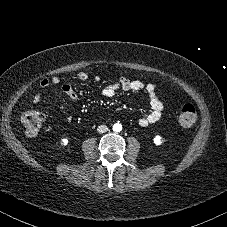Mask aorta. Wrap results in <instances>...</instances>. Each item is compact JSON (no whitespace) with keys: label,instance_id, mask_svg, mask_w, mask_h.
<instances>
[{"label":"aorta","instance_id":"762f6f07","mask_svg":"<svg viewBox=\"0 0 227 227\" xmlns=\"http://www.w3.org/2000/svg\"><path fill=\"white\" fill-rule=\"evenodd\" d=\"M114 131L119 132L122 130V126L120 124H115L113 126Z\"/></svg>","mask_w":227,"mask_h":227}]
</instances>
